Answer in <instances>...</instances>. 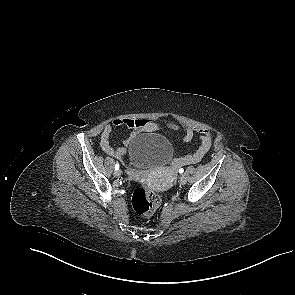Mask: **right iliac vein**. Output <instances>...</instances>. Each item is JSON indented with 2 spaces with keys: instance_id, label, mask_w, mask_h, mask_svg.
<instances>
[{
  "instance_id": "63e3f726",
  "label": "right iliac vein",
  "mask_w": 295,
  "mask_h": 295,
  "mask_svg": "<svg viewBox=\"0 0 295 295\" xmlns=\"http://www.w3.org/2000/svg\"><path fill=\"white\" fill-rule=\"evenodd\" d=\"M121 173H122L121 170H119V169L118 170H115L114 171V176L115 177H120L121 176Z\"/></svg>"
}]
</instances>
